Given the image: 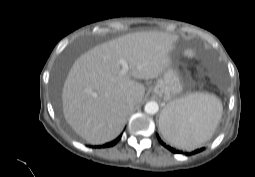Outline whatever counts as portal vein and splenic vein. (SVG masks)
I'll return each instance as SVG.
<instances>
[{
    "instance_id": "18ae733b",
    "label": "portal vein and splenic vein",
    "mask_w": 255,
    "mask_h": 177,
    "mask_svg": "<svg viewBox=\"0 0 255 177\" xmlns=\"http://www.w3.org/2000/svg\"><path fill=\"white\" fill-rule=\"evenodd\" d=\"M119 62L121 64V66H122L121 74H125L127 72V70H128V64L123 59H121Z\"/></svg>"
}]
</instances>
